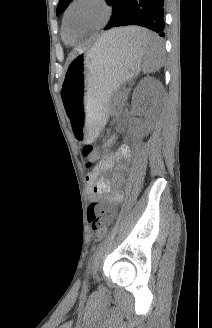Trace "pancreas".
I'll return each instance as SVG.
<instances>
[{"label": "pancreas", "mask_w": 212, "mask_h": 328, "mask_svg": "<svg viewBox=\"0 0 212 328\" xmlns=\"http://www.w3.org/2000/svg\"><path fill=\"white\" fill-rule=\"evenodd\" d=\"M125 101L124 94H121L115 101L116 106H121L123 102Z\"/></svg>", "instance_id": "obj_1"}]
</instances>
